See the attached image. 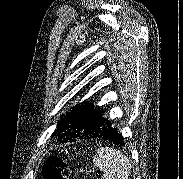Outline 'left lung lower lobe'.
Returning a JSON list of instances; mask_svg holds the SVG:
<instances>
[{"label":"left lung lower lobe","mask_w":183,"mask_h":179,"mask_svg":"<svg viewBox=\"0 0 183 179\" xmlns=\"http://www.w3.org/2000/svg\"><path fill=\"white\" fill-rule=\"evenodd\" d=\"M84 138H99L102 140H106L108 142H113L114 144H124V140L122 135L119 133V129L116 125L111 121H106L104 125L96 130L91 135ZM83 137L79 139H84Z\"/></svg>","instance_id":"obj_1"}]
</instances>
